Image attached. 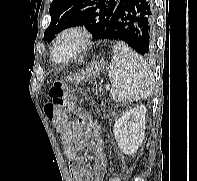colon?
I'll return each mask as SVG.
<instances>
[{
    "instance_id": "colon-1",
    "label": "colon",
    "mask_w": 197,
    "mask_h": 181,
    "mask_svg": "<svg viewBox=\"0 0 197 181\" xmlns=\"http://www.w3.org/2000/svg\"><path fill=\"white\" fill-rule=\"evenodd\" d=\"M49 97L50 101L44 105V113L50 122L58 129H62L72 110L71 92L64 82L55 81L49 89ZM109 181H119V179L112 177Z\"/></svg>"
}]
</instances>
